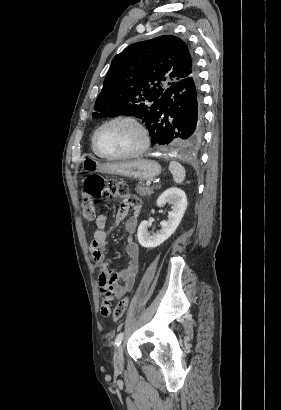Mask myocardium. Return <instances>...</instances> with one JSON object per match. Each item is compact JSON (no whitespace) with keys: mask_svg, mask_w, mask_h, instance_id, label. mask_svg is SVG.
<instances>
[{"mask_svg":"<svg viewBox=\"0 0 281 410\" xmlns=\"http://www.w3.org/2000/svg\"><path fill=\"white\" fill-rule=\"evenodd\" d=\"M116 122H127L137 128V130L139 131L141 135V143L137 149L127 154H123V155H108L106 153H103L100 150L98 146V135L100 131L104 127L110 124L116 123ZM149 145H150V136H149L148 130L137 118L130 116V115H118V116H115L113 118H110L104 121L101 125L97 127V129L94 131L93 136H92V146H93L94 151L96 152L98 156L104 159H107V160H124V159H130V158L137 157L143 154L148 149Z\"/></svg>","mask_w":281,"mask_h":410,"instance_id":"obj_1","label":"myocardium"}]
</instances>
